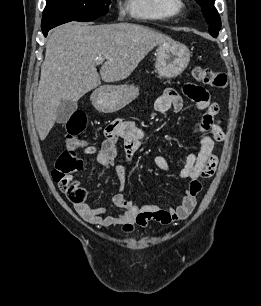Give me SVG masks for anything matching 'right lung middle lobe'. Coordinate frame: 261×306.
Here are the masks:
<instances>
[{"instance_id":"dd1d6c3e","label":"right lung middle lobe","mask_w":261,"mask_h":306,"mask_svg":"<svg viewBox=\"0 0 261 306\" xmlns=\"http://www.w3.org/2000/svg\"><path fill=\"white\" fill-rule=\"evenodd\" d=\"M111 0H46L43 19L87 22L106 14Z\"/></svg>"}]
</instances>
